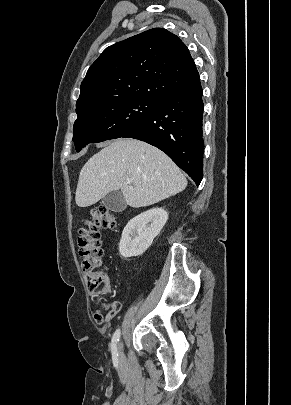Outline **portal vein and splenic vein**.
Returning <instances> with one entry per match:
<instances>
[{
  "mask_svg": "<svg viewBox=\"0 0 291 405\" xmlns=\"http://www.w3.org/2000/svg\"><path fill=\"white\" fill-rule=\"evenodd\" d=\"M126 182H127L128 184H130V183H131V180H130V179H127Z\"/></svg>",
  "mask_w": 291,
  "mask_h": 405,
  "instance_id": "1",
  "label": "portal vein and splenic vein"
}]
</instances>
